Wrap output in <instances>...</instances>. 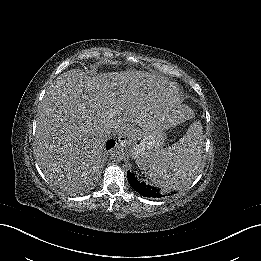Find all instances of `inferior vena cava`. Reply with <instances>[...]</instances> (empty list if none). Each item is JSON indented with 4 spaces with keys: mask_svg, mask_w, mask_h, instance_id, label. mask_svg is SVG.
Segmentation results:
<instances>
[{
    "mask_svg": "<svg viewBox=\"0 0 261 261\" xmlns=\"http://www.w3.org/2000/svg\"><path fill=\"white\" fill-rule=\"evenodd\" d=\"M112 132H114V128H113V127L107 128V129L105 130V133H106L107 136H109Z\"/></svg>",
    "mask_w": 261,
    "mask_h": 261,
    "instance_id": "inferior-vena-cava-1",
    "label": "inferior vena cava"
}]
</instances>
